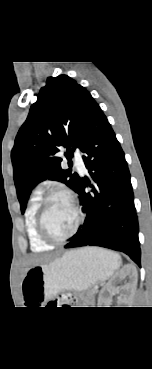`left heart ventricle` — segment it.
<instances>
[{
	"instance_id": "left-heart-ventricle-1",
	"label": "left heart ventricle",
	"mask_w": 152,
	"mask_h": 369,
	"mask_svg": "<svg viewBox=\"0 0 152 369\" xmlns=\"http://www.w3.org/2000/svg\"><path fill=\"white\" fill-rule=\"evenodd\" d=\"M46 226L55 237H64L69 234L76 223V213L71 202L63 196L50 200L46 217Z\"/></svg>"
}]
</instances>
